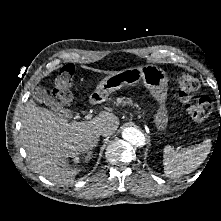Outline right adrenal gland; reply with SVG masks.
<instances>
[{
  "mask_svg": "<svg viewBox=\"0 0 221 221\" xmlns=\"http://www.w3.org/2000/svg\"><path fill=\"white\" fill-rule=\"evenodd\" d=\"M97 143H98V140H97V142L93 145V147L90 149V151L88 152V158L90 159L91 158V156H92V154H93V150H94V147L97 145Z\"/></svg>",
  "mask_w": 221,
  "mask_h": 221,
  "instance_id": "1",
  "label": "right adrenal gland"
}]
</instances>
